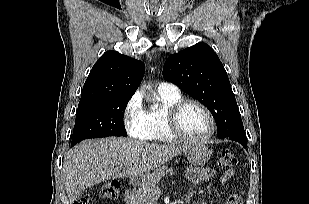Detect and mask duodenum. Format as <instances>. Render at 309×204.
<instances>
[{"label": "duodenum", "instance_id": "obj_1", "mask_svg": "<svg viewBox=\"0 0 309 204\" xmlns=\"http://www.w3.org/2000/svg\"><path fill=\"white\" fill-rule=\"evenodd\" d=\"M136 180H131V185H135L136 184Z\"/></svg>", "mask_w": 309, "mask_h": 204}]
</instances>
